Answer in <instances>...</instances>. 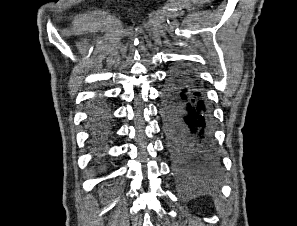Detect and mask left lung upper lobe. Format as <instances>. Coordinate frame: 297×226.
Listing matches in <instances>:
<instances>
[{
  "instance_id": "1",
  "label": "left lung upper lobe",
  "mask_w": 297,
  "mask_h": 226,
  "mask_svg": "<svg viewBox=\"0 0 297 226\" xmlns=\"http://www.w3.org/2000/svg\"><path fill=\"white\" fill-rule=\"evenodd\" d=\"M184 72H185L186 74H188V75L193 79V81L196 83L195 78L193 77V75H192L190 72H188V71H186V70H184Z\"/></svg>"
}]
</instances>
